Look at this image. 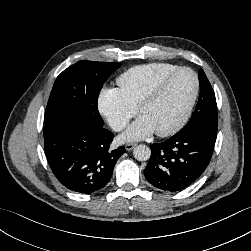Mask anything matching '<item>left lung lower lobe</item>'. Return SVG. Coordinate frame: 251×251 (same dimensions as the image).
<instances>
[{"instance_id": "obj_1", "label": "left lung lower lobe", "mask_w": 251, "mask_h": 251, "mask_svg": "<svg viewBox=\"0 0 251 251\" xmlns=\"http://www.w3.org/2000/svg\"><path fill=\"white\" fill-rule=\"evenodd\" d=\"M217 129L198 126L178 132L162 143H154L144 170L147 181L168 192L181 191L194 183L208 166Z\"/></svg>"}]
</instances>
